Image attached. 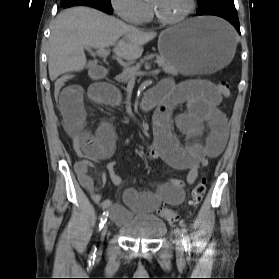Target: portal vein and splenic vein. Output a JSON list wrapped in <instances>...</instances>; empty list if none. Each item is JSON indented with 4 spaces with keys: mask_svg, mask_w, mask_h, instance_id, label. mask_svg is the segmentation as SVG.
Segmentation results:
<instances>
[{
    "mask_svg": "<svg viewBox=\"0 0 279 279\" xmlns=\"http://www.w3.org/2000/svg\"><path fill=\"white\" fill-rule=\"evenodd\" d=\"M89 51H91V50L89 49ZM109 52H110L109 48L106 47V48H100V49H98V50L96 51V54H97L98 56H100V57L106 59L107 56L109 55ZM137 69H139V68H137ZM154 72L158 73L159 71L156 70V71H154ZM136 74H137V72L134 71L133 74H132V77H135Z\"/></svg>",
    "mask_w": 279,
    "mask_h": 279,
    "instance_id": "obj_1",
    "label": "portal vein and splenic vein"
}]
</instances>
